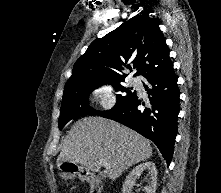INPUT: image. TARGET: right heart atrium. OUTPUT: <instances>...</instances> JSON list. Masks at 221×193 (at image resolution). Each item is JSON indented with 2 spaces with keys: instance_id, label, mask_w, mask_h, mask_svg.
<instances>
[{
  "instance_id": "d8ad5b80",
  "label": "right heart atrium",
  "mask_w": 221,
  "mask_h": 193,
  "mask_svg": "<svg viewBox=\"0 0 221 193\" xmlns=\"http://www.w3.org/2000/svg\"><path fill=\"white\" fill-rule=\"evenodd\" d=\"M90 98L102 111L114 109L118 103L117 96L110 86L101 85L93 88L90 92Z\"/></svg>"
}]
</instances>
